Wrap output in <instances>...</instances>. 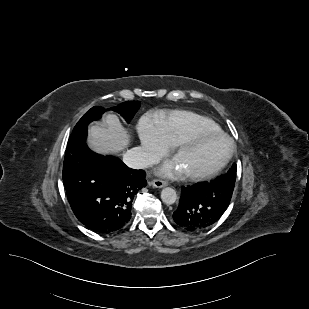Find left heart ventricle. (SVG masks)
Listing matches in <instances>:
<instances>
[{
  "mask_svg": "<svg viewBox=\"0 0 309 309\" xmlns=\"http://www.w3.org/2000/svg\"><path fill=\"white\" fill-rule=\"evenodd\" d=\"M228 143L223 138L207 137L181 150L175 159L184 173L205 172L214 168L225 156Z\"/></svg>",
  "mask_w": 309,
  "mask_h": 309,
  "instance_id": "1",
  "label": "left heart ventricle"
}]
</instances>
